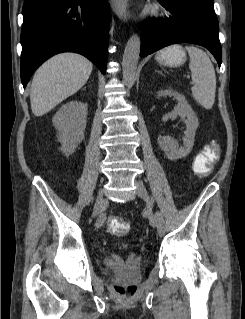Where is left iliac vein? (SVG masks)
Returning a JSON list of instances; mask_svg holds the SVG:
<instances>
[{"mask_svg": "<svg viewBox=\"0 0 245 319\" xmlns=\"http://www.w3.org/2000/svg\"><path fill=\"white\" fill-rule=\"evenodd\" d=\"M136 186H137V194L147 203L148 208L151 211L150 217H149V221L152 227H157V217L156 215L152 212V204L150 201V197L148 195V192L144 186V184L141 181H137L136 182ZM158 230V227H157ZM159 235H163L164 232H159Z\"/></svg>", "mask_w": 245, "mask_h": 319, "instance_id": "4c4485c4", "label": "left iliac vein"}]
</instances>
